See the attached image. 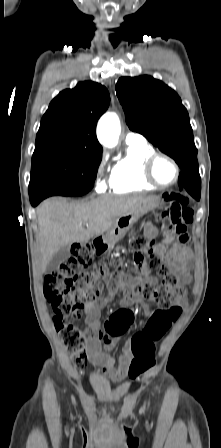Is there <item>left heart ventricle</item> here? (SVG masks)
I'll list each match as a JSON object with an SVG mask.
<instances>
[{
    "instance_id": "1",
    "label": "left heart ventricle",
    "mask_w": 221,
    "mask_h": 448,
    "mask_svg": "<svg viewBox=\"0 0 221 448\" xmlns=\"http://www.w3.org/2000/svg\"><path fill=\"white\" fill-rule=\"evenodd\" d=\"M154 174L159 182L168 184L174 180L176 170L167 159L159 158L154 166Z\"/></svg>"
}]
</instances>
